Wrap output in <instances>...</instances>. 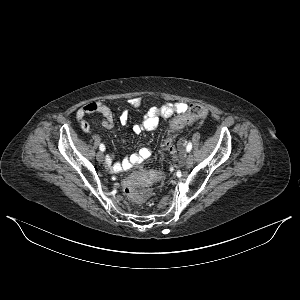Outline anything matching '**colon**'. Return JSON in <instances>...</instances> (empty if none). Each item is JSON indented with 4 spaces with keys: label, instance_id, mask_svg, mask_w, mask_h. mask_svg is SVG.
<instances>
[{
    "label": "colon",
    "instance_id": "colon-1",
    "mask_svg": "<svg viewBox=\"0 0 300 300\" xmlns=\"http://www.w3.org/2000/svg\"><path fill=\"white\" fill-rule=\"evenodd\" d=\"M207 116V109L201 104H192L188 109L179 114L173 120L172 128L179 129L195 121L203 120ZM166 148L173 154V135L165 139ZM171 167H166L164 171L137 173L129 177L124 183L126 195L134 202L143 201L150 193L149 184L158 183L163 177H170Z\"/></svg>",
    "mask_w": 300,
    "mask_h": 300
}]
</instances>
